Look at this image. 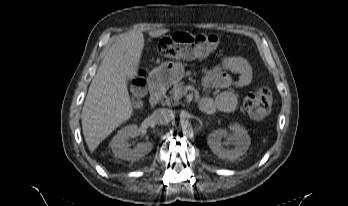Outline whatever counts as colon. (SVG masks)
Here are the masks:
<instances>
[{
	"mask_svg": "<svg viewBox=\"0 0 348 206\" xmlns=\"http://www.w3.org/2000/svg\"><path fill=\"white\" fill-rule=\"evenodd\" d=\"M197 34L178 32L164 38L158 45V52L164 58L179 59L190 55L191 45L197 40ZM210 40V35L204 36ZM145 90L144 74H139L133 81L135 95L143 94ZM272 93L267 87H260L249 93L244 100V107L248 115L254 120L265 118L272 107Z\"/></svg>",
	"mask_w": 348,
	"mask_h": 206,
	"instance_id": "1",
	"label": "colon"
}]
</instances>
